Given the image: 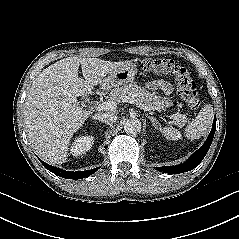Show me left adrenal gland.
Masks as SVG:
<instances>
[{
	"label": "left adrenal gland",
	"mask_w": 239,
	"mask_h": 239,
	"mask_svg": "<svg viewBox=\"0 0 239 239\" xmlns=\"http://www.w3.org/2000/svg\"><path fill=\"white\" fill-rule=\"evenodd\" d=\"M146 117L151 120L152 125H153L156 129H158V130L161 129V125H160L159 121H158L156 118H154L153 116H150V115H148V114H146Z\"/></svg>",
	"instance_id": "left-adrenal-gland-1"
}]
</instances>
